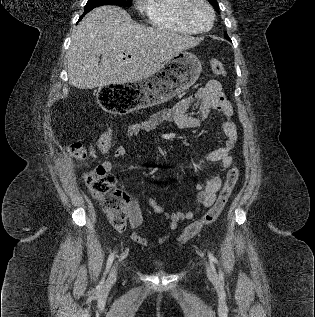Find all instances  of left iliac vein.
Wrapping results in <instances>:
<instances>
[{
  "instance_id": "4c4485c4",
  "label": "left iliac vein",
  "mask_w": 315,
  "mask_h": 317,
  "mask_svg": "<svg viewBox=\"0 0 315 317\" xmlns=\"http://www.w3.org/2000/svg\"><path fill=\"white\" fill-rule=\"evenodd\" d=\"M205 266H206L207 276H208L210 279H215V274L213 273V271L211 270V268L209 267V265L206 263Z\"/></svg>"
}]
</instances>
